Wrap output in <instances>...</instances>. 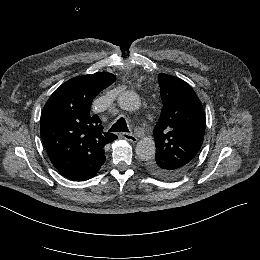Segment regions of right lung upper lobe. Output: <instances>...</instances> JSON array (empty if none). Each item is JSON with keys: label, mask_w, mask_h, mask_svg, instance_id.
Wrapping results in <instances>:
<instances>
[{"label": "right lung upper lobe", "mask_w": 260, "mask_h": 260, "mask_svg": "<svg viewBox=\"0 0 260 260\" xmlns=\"http://www.w3.org/2000/svg\"><path fill=\"white\" fill-rule=\"evenodd\" d=\"M115 81L111 73L72 78L49 98L41 115L40 133L55 168L66 178L85 181L96 175L106 158L104 146L117 139L103 132L90 113L92 100Z\"/></svg>", "instance_id": "1"}]
</instances>
